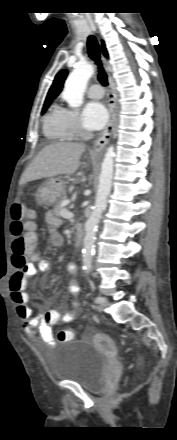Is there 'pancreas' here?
Masks as SVG:
<instances>
[{
    "instance_id": "pancreas-1",
    "label": "pancreas",
    "mask_w": 177,
    "mask_h": 440,
    "mask_svg": "<svg viewBox=\"0 0 177 440\" xmlns=\"http://www.w3.org/2000/svg\"><path fill=\"white\" fill-rule=\"evenodd\" d=\"M66 200V196H63L59 199V201L55 204L54 209H53V213L56 216H61V210L64 208L62 206V203Z\"/></svg>"
}]
</instances>
